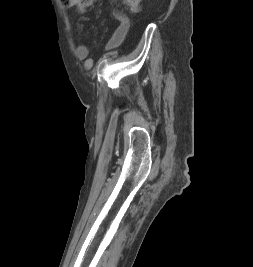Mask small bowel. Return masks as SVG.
Returning a JSON list of instances; mask_svg holds the SVG:
<instances>
[{"label":"small bowel","mask_w":253,"mask_h":267,"mask_svg":"<svg viewBox=\"0 0 253 267\" xmlns=\"http://www.w3.org/2000/svg\"><path fill=\"white\" fill-rule=\"evenodd\" d=\"M114 16L119 21V26L116 28L111 38L103 46L102 51H110L118 48L124 42L129 32V18L118 11L114 12ZM76 55L79 59L85 60L87 63L92 62V58L89 57V48L84 44H79L76 47Z\"/></svg>","instance_id":"obj_1"}]
</instances>
